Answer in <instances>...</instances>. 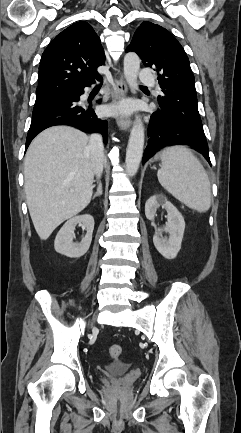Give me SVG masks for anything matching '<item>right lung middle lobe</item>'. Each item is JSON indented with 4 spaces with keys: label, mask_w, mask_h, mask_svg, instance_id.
<instances>
[{
    "label": "right lung middle lobe",
    "mask_w": 241,
    "mask_h": 433,
    "mask_svg": "<svg viewBox=\"0 0 241 433\" xmlns=\"http://www.w3.org/2000/svg\"><path fill=\"white\" fill-rule=\"evenodd\" d=\"M68 97H69L68 92H58V93H51V94L37 96L34 109H33V114H36L48 108L51 105L64 101Z\"/></svg>",
    "instance_id": "right-lung-middle-lobe-1"
}]
</instances>
